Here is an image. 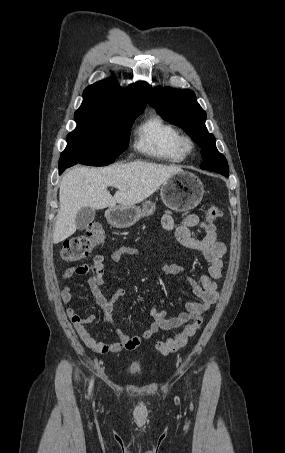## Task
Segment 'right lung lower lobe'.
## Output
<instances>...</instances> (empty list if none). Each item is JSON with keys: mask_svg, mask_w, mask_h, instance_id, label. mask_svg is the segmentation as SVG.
I'll return each instance as SVG.
<instances>
[{"mask_svg": "<svg viewBox=\"0 0 285 453\" xmlns=\"http://www.w3.org/2000/svg\"><path fill=\"white\" fill-rule=\"evenodd\" d=\"M72 166L71 163H65L59 160V174H61L66 168Z\"/></svg>", "mask_w": 285, "mask_h": 453, "instance_id": "right-lung-lower-lobe-1", "label": "right lung lower lobe"}]
</instances>
